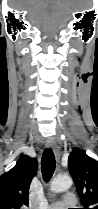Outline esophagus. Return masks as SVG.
<instances>
[{
    "instance_id": "34e87169",
    "label": "esophagus",
    "mask_w": 98,
    "mask_h": 209,
    "mask_svg": "<svg viewBox=\"0 0 98 209\" xmlns=\"http://www.w3.org/2000/svg\"><path fill=\"white\" fill-rule=\"evenodd\" d=\"M46 147L47 148H51L53 150L57 161H59L60 160L61 152H60V148L55 144V142L52 141V140L47 141L46 142Z\"/></svg>"
}]
</instances>
